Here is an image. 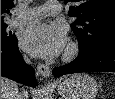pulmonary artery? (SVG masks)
Instances as JSON below:
<instances>
[{
  "instance_id": "pulmonary-artery-1",
  "label": "pulmonary artery",
  "mask_w": 115,
  "mask_h": 99,
  "mask_svg": "<svg viewBox=\"0 0 115 99\" xmlns=\"http://www.w3.org/2000/svg\"><path fill=\"white\" fill-rule=\"evenodd\" d=\"M62 7L57 1H49L43 6L31 8L23 11L20 15L13 18L10 22L11 27L19 26L25 23L39 20L48 15H57L61 13Z\"/></svg>"
}]
</instances>
